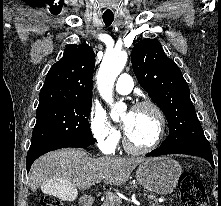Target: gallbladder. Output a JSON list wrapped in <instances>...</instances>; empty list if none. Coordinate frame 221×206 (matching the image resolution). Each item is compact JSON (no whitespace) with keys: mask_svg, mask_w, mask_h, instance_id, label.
<instances>
[{"mask_svg":"<svg viewBox=\"0 0 221 206\" xmlns=\"http://www.w3.org/2000/svg\"><path fill=\"white\" fill-rule=\"evenodd\" d=\"M40 185L43 194H51L52 198H60V202H73V198H79V193L75 185H70V181H44Z\"/></svg>","mask_w":221,"mask_h":206,"instance_id":"gallbladder-1","label":"gallbladder"}]
</instances>
